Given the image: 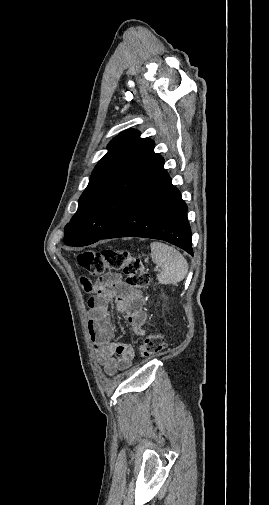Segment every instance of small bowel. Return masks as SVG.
I'll return each mask as SVG.
<instances>
[{"label":"small bowel","mask_w":269,"mask_h":505,"mask_svg":"<svg viewBox=\"0 0 269 505\" xmlns=\"http://www.w3.org/2000/svg\"><path fill=\"white\" fill-rule=\"evenodd\" d=\"M87 274V275H86ZM83 275L81 288L92 297L88 301V332L94 343L96 357L106 374L115 375L131 367L134 358L132 347L127 343L113 341L114 327L109 312V303L115 302L116 309L124 314L136 336L145 334L146 315L144 299L134 293L118 273H107L102 281L88 280L90 271ZM89 276V277H88Z\"/></svg>","instance_id":"obj_1"}]
</instances>
